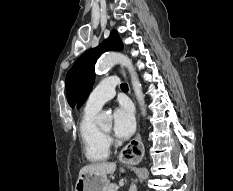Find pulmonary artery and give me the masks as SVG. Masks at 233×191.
I'll return each instance as SVG.
<instances>
[{"instance_id": "1", "label": "pulmonary artery", "mask_w": 233, "mask_h": 191, "mask_svg": "<svg viewBox=\"0 0 233 191\" xmlns=\"http://www.w3.org/2000/svg\"><path fill=\"white\" fill-rule=\"evenodd\" d=\"M117 84L118 79L114 76L102 80L87 99L85 110L99 111L107 101L114 97Z\"/></svg>"}]
</instances>
